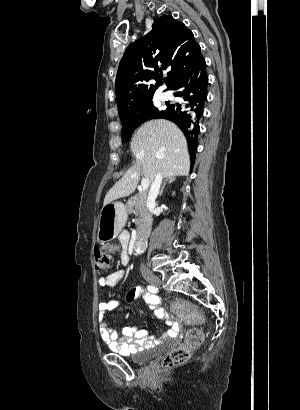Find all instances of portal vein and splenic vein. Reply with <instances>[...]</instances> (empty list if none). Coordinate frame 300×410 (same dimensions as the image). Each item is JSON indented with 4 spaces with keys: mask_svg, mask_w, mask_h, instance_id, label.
I'll return each instance as SVG.
<instances>
[{
    "mask_svg": "<svg viewBox=\"0 0 300 410\" xmlns=\"http://www.w3.org/2000/svg\"><path fill=\"white\" fill-rule=\"evenodd\" d=\"M149 185H150L149 180L146 179V178H143L142 181H141V189H142V191L147 190L148 187H149Z\"/></svg>",
    "mask_w": 300,
    "mask_h": 410,
    "instance_id": "portal-vein-and-splenic-vein-1",
    "label": "portal vein and splenic vein"
}]
</instances>
